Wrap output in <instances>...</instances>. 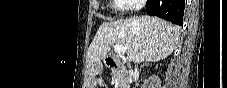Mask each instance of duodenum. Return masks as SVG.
<instances>
[{
	"mask_svg": "<svg viewBox=\"0 0 227 88\" xmlns=\"http://www.w3.org/2000/svg\"><path fill=\"white\" fill-rule=\"evenodd\" d=\"M105 66L108 68H115L122 66V62L117 58H108L105 61Z\"/></svg>",
	"mask_w": 227,
	"mask_h": 88,
	"instance_id": "1",
	"label": "duodenum"
}]
</instances>
